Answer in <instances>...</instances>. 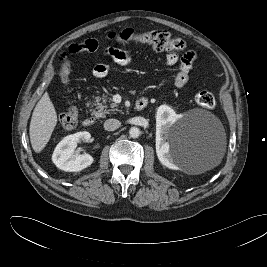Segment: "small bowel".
<instances>
[{
  "label": "small bowel",
  "instance_id": "obj_1",
  "mask_svg": "<svg viewBox=\"0 0 267 267\" xmlns=\"http://www.w3.org/2000/svg\"><path fill=\"white\" fill-rule=\"evenodd\" d=\"M109 39H111V33L107 35ZM98 49V41L94 38H89L81 43H73L68 46L66 51L61 53L59 59L64 61L69 54H77L80 52H94ZM106 56L112 62L127 66L132 62L131 55L122 49L110 47L105 51ZM195 55L193 53L186 54L181 61L179 62V57L176 54H168L164 60V65L171 67L174 65H178L177 73L174 78V85L177 88L184 87L189 80V72L192 68V64L194 61ZM110 70V65L107 62H99L97 63L92 70L93 75L96 78L105 77Z\"/></svg>",
  "mask_w": 267,
  "mask_h": 267
}]
</instances>
